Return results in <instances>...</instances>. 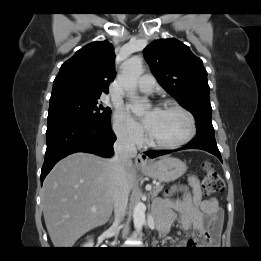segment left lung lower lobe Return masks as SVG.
Instances as JSON below:
<instances>
[{
    "label": "left lung lower lobe",
    "instance_id": "left-lung-lower-lobe-1",
    "mask_svg": "<svg viewBox=\"0 0 261 261\" xmlns=\"http://www.w3.org/2000/svg\"><path fill=\"white\" fill-rule=\"evenodd\" d=\"M183 149L205 150V151L215 155L222 162L221 154L217 147L214 133H212V132L197 133L196 137L191 142H189L187 145H185L184 147H182L180 149H176L175 151L183 150ZM171 152H173V151L172 150H170V151H150V152H145V154L147 156H149L150 158H155L157 156L165 155V154H168Z\"/></svg>",
    "mask_w": 261,
    "mask_h": 261
}]
</instances>
